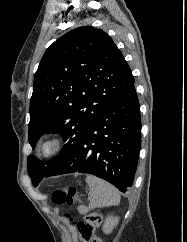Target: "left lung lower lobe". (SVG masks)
<instances>
[{
    "label": "left lung lower lobe",
    "instance_id": "1",
    "mask_svg": "<svg viewBox=\"0 0 187 242\" xmlns=\"http://www.w3.org/2000/svg\"><path fill=\"white\" fill-rule=\"evenodd\" d=\"M140 145V107L133 83L93 121L72 153L49 173L33 178V185L44 177L80 172L125 193L134 181Z\"/></svg>",
    "mask_w": 187,
    "mask_h": 242
}]
</instances>
